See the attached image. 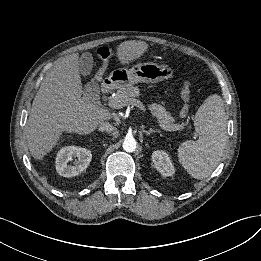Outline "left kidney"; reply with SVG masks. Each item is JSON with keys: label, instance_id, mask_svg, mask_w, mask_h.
Instances as JSON below:
<instances>
[{"label": "left kidney", "instance_id": "1", "mask_svg": "<svg viewBox=\"0 0 261 261\" xmlns=\"http://www.w3.org/2000/svg\"><path fill=\"white\" fill-rule=\"evenodd\" d=\"M152 161L155 168L163 176H172L175 173V168L169 155L163 150L154 151L152 154Z\"/></svg>", "mask_w": 261, "mask_h": 261}]
</instances>
